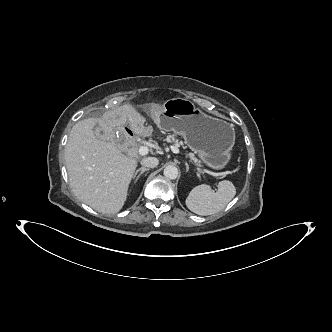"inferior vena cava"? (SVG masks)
<instances>
[{
    "label": "inferior vena cava",
    "mask_w": 332,
    "mask_h": 332,
    "mask_svg": "<svg viewBox=\"0 0 332 332\" xmlns=\"http://www.w3.org/2000/svg\"><path fill=\"white\" fill-rule=\"evenodd\" d=\"M158 163L159 161L156 157H147L141 160V165L148 168H154Z\"/></svg>",
    "instance_id": "obj_1"
}]
</instances>
